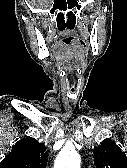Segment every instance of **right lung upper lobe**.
<instances>
[{
	"mask_svg": "<svg viewBox=\"0 0 127 168\" xmlns=\"http://www.w3.org/2000/svg\"><path fill=\"white\" fill-rule=\"evenodd\" d=\"M48 153L43 143L27 137L18 141L0 163V168H46Z\"/></svg>",
	"mask_w": 127,
	"mask_h": 168,
	"instance_id": "obj_1",
	"label": "right lung upper lobe"
}]
</instances>
